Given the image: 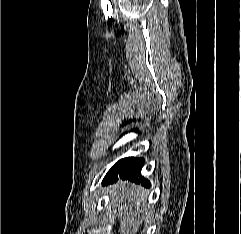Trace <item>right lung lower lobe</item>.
<instances>
[{"label": "right lung lower lobe", "mask_w": 241, "mask_h": 234, "mask_svg": "<svg viewBox=\"0 0 241 234\" xmlns=\"http://www.w3.org/2000/svg\"><path fill=\"white\" fill-rule=\"evenodd\" d=\"M144 164L143 158H125L119 160L106 174L103 184L113 183L118 180V176L122 179H128L134 182H139L144 186H150L148 180L144 179L140 170Z\"/></svg>", "instance_id": "right-lung-lower-lobe-1"}]
</instances>
